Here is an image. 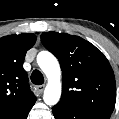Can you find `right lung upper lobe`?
Returning a JSON list of instances; mask_svg holds the SVG:
<instances>
[{"instance_id":"1","label":"right lung upper lobe","mask_w":119,"mask_h":119,"mask_svg":"<svg viewBox=\"0 0 119 119\" xmlns=\"http://www.w3.org/2000/svg\"><path fill=\"white\" fill-rule=\"evenodd\" d=\"M35 42L36 36L31 33L0 38V115L36 100L23 69L26 52Z\"/></svg>"}]
</instances>
